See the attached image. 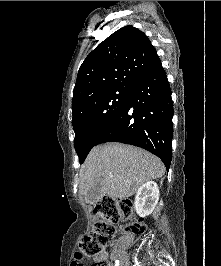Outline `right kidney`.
Segmentation results:
<instances>
[{"instance_id": "1", "label": "right kidney", "mask_w": 221, "mask_h": 266, "mask_svg": "<svg viewBox=\"0 0 221 266\" xmlns=\"http://www.w3.org/2000/svg\"><path fill=\"white\" fill-rule=\"evenodd\" d=\"M159 200V188L154 181L140 186L135 196V209L140 217L151 214Z\"/></svg>"}]
</instances>
